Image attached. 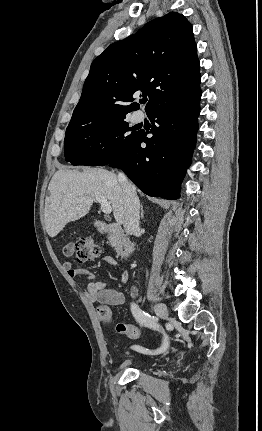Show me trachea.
Masks as SVG:
<instances>
[{
	"instance_id": "obj_1",
	"label": "trachea",
	"mask_w": 262,
	"mask_h": 431,
	"mask_svg": "<svg viewBox=\"0 0 262 431\" xmlns=\"http://www.w3.org/2000/svg\"><path fill=\"white\" fill-rule=\"evenodd\" d=\"M146 101H147L146 99H142V100H141V103L145 104V103H146Z\"/></svg>"
}]
</instances>
